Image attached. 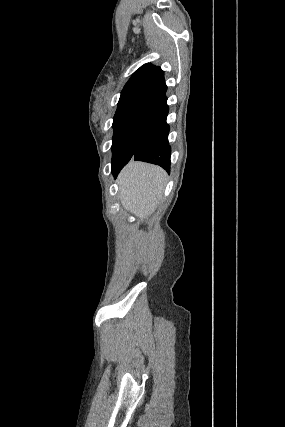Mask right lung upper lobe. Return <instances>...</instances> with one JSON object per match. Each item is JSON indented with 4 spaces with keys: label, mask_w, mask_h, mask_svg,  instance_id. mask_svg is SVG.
Here are the masks:
<instances>
[{
    "label": "right lung upper lobe",
    "mask_w": 285,
    "mask_h": 427,
    "mask_svg": "<svg viewBox=\"0 0 285 427\" xmlns=\"http://www.w3.org/2000/svg\"><path fill=\"white\" fill-rule=\"evenodd\" d=\"M167 86L160 67L144 64L124 86L113 121L133 115L147 114L167 100Z\"/></svg>",
    "instance_id": "obj_1"
}]
</instances>
